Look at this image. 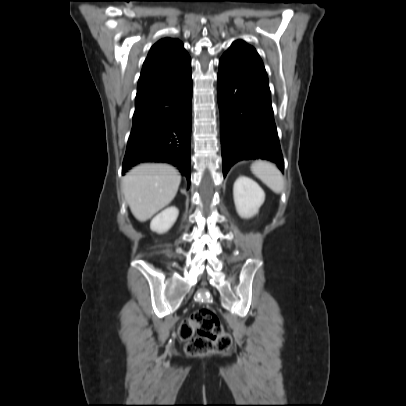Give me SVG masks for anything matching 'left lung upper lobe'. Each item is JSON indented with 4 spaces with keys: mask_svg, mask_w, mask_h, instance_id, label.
Wrapping results in <instances>:
<instances>
[{
    "mask_svg": "<svg viewBox=\"0 0 406 406\" xmlns=\"http://www.w3.org/2000/svg\"><path fill=\"white\" fill-rule=\"evenodd\" d=\"M228 51H235V52L244 53V54L252 57L253 59H256V60L262 62V60L260 59V57L257 54L256 50L254 49V47L246 44L244 41H241V40L235 41L231 45V47L228 49Z\"/></svg>",
    "mask_w": 406,
    "mask_h": 406,
    "instance_id": "left-lung-upper-lobe-1",
    "label": "left lung upper lobe"
}]
</instances>
